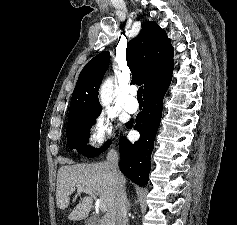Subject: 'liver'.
<instances>
[{"label": "liver", "mask_w": 237, "mask_h": 225, "mask_svg": "<svg viewBox=\"0 0 237 225\" xmlns=\"http://www.w3.org/2000/svg\"><path fill=\"white\" fill-rule=\"evenodd\" d=\"M85 187L100 197L107 210L99 225H116V183L107 162L61 166L57 174L56 203L64 210L76 188ZM93 200L84 197L72 210L68 219L80 221L88 217Z\"/></svg>", "instance_id": "6515ba94"}]
</instances>
